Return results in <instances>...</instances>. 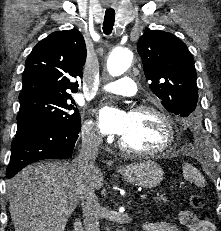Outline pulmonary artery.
I'll list each match as a JSON object with an SVG mask.
<instances>
[{
  "instance_id": "obj_1",
  "label": "pulmonary artery",
  "mask_w": 221,
  "mask_h": 231,
  "mask_svg": "<svg viewBox=\"0 0 221 231\" xmlns=\"http://www.w3.org/2000/svg\"><path fill=\"white\" fill-rule=\"evenodd\" d=\"M102 89L122 96H133L136 93L135 82L129 77H123L121 79L108 82L103 85Z\"/></svg>"
}]
</instances>
